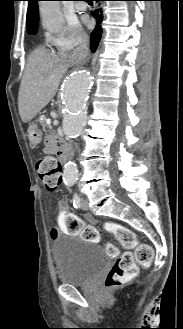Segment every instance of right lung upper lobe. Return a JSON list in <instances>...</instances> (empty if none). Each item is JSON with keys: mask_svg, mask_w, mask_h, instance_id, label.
I'll list each match as a JSON object with an SVG mask.
<instances>
[{"mask_svg": "<svg viewBox=\"0 0 183 329\" xmlns=\"http://www.w3.org/2000/svg\"><path fill=\"white\" fill-rule=\"evenodd\" d=\"M39 0H28V11H27V31L30 33L35 28L38 27V20H39V14H38V2Z\"/></svg>", "mask_w": 183, "mask_h": 329, "instance_id": "cb5924a9", "label": "right lung upper lobe"}]
</instances>
